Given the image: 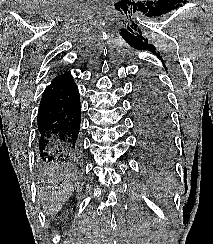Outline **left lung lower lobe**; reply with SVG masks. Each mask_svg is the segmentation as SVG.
Instances as JSON below:
<instances>
[{
    "instance_id": "0a47b994",
    "label": "left lung lower lobe",
    "mask_w": 213,
    "mask_h": 244,
    "mask_svg": "<svg viewBox=\"0 0 213 244\" xmlns=\"http://www.w3.org/2000/svg\"><path fill=\"white\" fill-rule=\"evenodd\" d=\"M135 119L140 151L147 156H157L166 140L161 138L148 122L137 116Z\"/></svg>"
}]
</instances>
